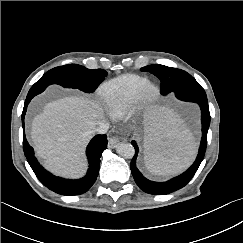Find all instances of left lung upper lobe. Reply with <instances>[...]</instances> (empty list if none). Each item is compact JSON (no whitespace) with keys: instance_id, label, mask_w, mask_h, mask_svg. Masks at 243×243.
<instances>
[{"instance_id":"1","label":"left lung upper lobe","mask_w":243,"mask_h":243,"mask_svg":"<svg viewBox=\"0 0 243 243\" xmlns=\"http://www.w3.org/2000/svg\"><path fill=\"white\" fill-rule=\"evenodd\" d=\"M141 70L149 71L160 79L163 95L200 85L189 73L180 69L154 64L143 67Z\"/></svg>"}]
</instances>
